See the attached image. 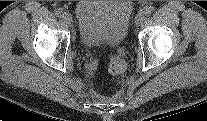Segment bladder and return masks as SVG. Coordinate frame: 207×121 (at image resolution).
Returning a JSON list of instances; mask_svg holds the SVG:
<instances>
[{"label":"bladder","mask_w":207,"mask_h":121,"mask_svg":"<svg viewBox=\"0 0 207 121\" xmlns=\"http://www.w3.org/2000/svg\"><path fill=\"white\" fill-rule=\"evenodd\" d=\"M75 14L83 46L114 47L127 35L133 4L130 1H79Z\"/></svg>","instance_id":"bladder-1"}]
</instances>
